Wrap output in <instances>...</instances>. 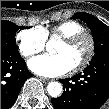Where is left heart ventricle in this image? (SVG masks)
Wrapping results in <instances>:
<instances>
[{
	"label": "left heart ventricle",
	"instance_id": "obj_1",
	"mask_svg": "<svg viewBox=\"0 0 109 109\" xmlns=\"http://www.w3.org/2000/svg\"><path fill=\"white\" fill-rule=\"evenodd\" d=\"M89 45L87 39H81L75 44L67 45L61 42L56 53L65 55L73 66L80 64L88 53Z\"/></svg>",
	"mask_w": 109,
	"mask_h": 109
}]
</instances>
